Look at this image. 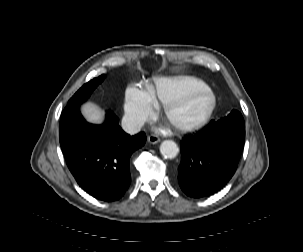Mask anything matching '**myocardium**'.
<instances>
[{
	"label": "myocardium",
	"instance_id": "1",
	"mask_svg": "<svg viewBox=\"0 0 303 252\" xmlns=\"http://www.w3.org/2000/svg\"><path fill=\"white\" fill-rule=\"evenodd\" d=\"M198 97H203L204 99V107L198 117L186 122H176L173 120V114L177 109L191 103ZM215 104L216 97L213 90L207 85H200L183 99L165 105L163 113L166 121L174 129L180 131H192L200 128L209 120L214 111Z\"/></svg>",
	"mask_w": 303,
	"mask_h": 252
}]
</instances>
